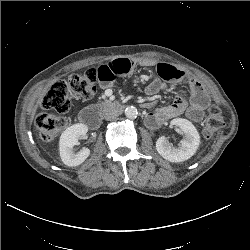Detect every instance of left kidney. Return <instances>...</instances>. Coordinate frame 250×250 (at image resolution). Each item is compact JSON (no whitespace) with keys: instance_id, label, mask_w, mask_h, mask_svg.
Wrapping results in <instances>:
<instances>
[{"instance_id":"obj_1","label":"left kidney","mask_w":250,"mask_h":250,"mask_svg":"<svg viewBox=\"0 0 250 250\" xmlns=\"http://www.w3.org/2000/svg\"><path fill=\"white\" fill-rule=\"evenodd\" d=\"M183 132V140L179 147L172 146L166 137L161 136L156 141V150L164 159L170 162H183L191 158L200 145V136L195 126L188 120L175 118L170 122Z\"/></svg>"}]
</instances>
